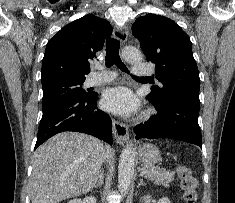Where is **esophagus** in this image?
I'll return each instance as SVG.
<instances>
[{
    "label": "esophagus",
    "instance_id": "obj_1",
    "mask_svg": "<svg viewBox=\"0 0 235 203\" xmlns=\"http://www.w3.org/2000/svg\"><path fill=\"white\" fill-rule=\"evenodd\" d=\"M128 27L116 25L114 27L113 36L119 40L122 44L127 41ZM113 134L117 143L124 145L128 140V127L126 124L121 123L115 119L112 120Z\"/></svg>",
    "mask_w": 235,
    "mask_h": 203
}]
</instances>
